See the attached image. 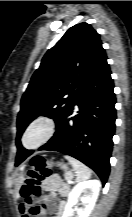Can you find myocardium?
Returning <instances> with one entry per match:
<instances>
[{"mask_svg": "<svg viewBox=\"0 0 132 217\" xmlns=\"http://www.w3.org/2000/svg\"><path fill=\"white\" fill-rule=\"evenodd\" d=\"M55 121L53 118H51L48 115H39L36 118H34L25 128L22 137H21V143L24 148L26 149H36L40 146L44 145L46 142H48L52 136L55 133ZM40 129L41 130V137L37 142L34 144L28 145L26 143L27 136L34 130Z\"/></svg>", "mask_w": 132, "mask_h": 217, "instance_id": "myocardium-1", "label": "myocardium"}]
</instances>
